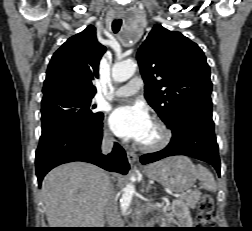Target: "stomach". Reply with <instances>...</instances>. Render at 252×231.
<instances>
[{
    "mask_svg": "<svg viewBox=\"0 0 252 231\" xmlns=\"http://www.w3.org/2000/svg\"><path fill=\"white\" fill-rule=\"evenodd\" d=\"M144 173L174 192L187 191L196 181V168L186 156H173L151 164Z\"/></svg>",
    "mask_w": 252,
    "mask_h": 231,
    "instance_id": "obj_1",
    "label": "stomach"
}]
</instances>
